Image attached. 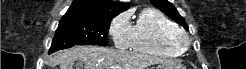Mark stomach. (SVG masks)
<instances>
[{"label":"stomach","mask_w":246,"mask_h":69,"mask_svg":"<svg viewBox=\"0 0 246 69\" xmlns=\"http://www.w3.org/2000/svg\"><path fill=\"white\" fill-rule=\"evenodd\" d=\"M152 69H185V68H183L180 65H174L171 63H163V64H160L157 67H154Z\"/></svg>","instance_id":"0dacf381"}]
</instances>
